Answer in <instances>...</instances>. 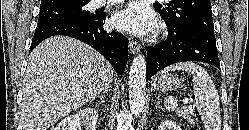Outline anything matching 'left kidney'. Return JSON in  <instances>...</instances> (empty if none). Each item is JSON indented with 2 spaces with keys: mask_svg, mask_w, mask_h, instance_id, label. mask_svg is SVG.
<instances>
[{
  "mask_svg": "<svg viewBox=\"0 0 249 130\" xmlns=\"http://www.w3.org/2000/svg\"><path fill=\"white\" fill-rule=\"evenodd\" d=\"M159 130H182V129L172 120H166L162 124H160Z\"/></svg>",
  "mask_w": 249,
  "mask_h": 130,
  "instance_id": "left-kidney-1",
  "label": "left kidney"
}]
</instances>
